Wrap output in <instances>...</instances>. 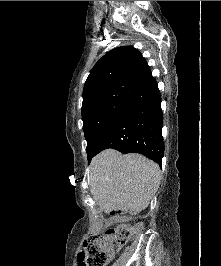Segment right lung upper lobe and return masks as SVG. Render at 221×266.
Segmentation results:
<instances>
[{"mask_svg":"<svg viewBox=\"0 0 221 266\" xmlns=\"http://www.w3.org/2000/svg\"><path fill=\"white\" fill-rule=\"evenodd\" d=\"M153 78L142 54L132 46L118 47L105 54L92 68L83 97L103 88L120 85L142 87Z\"/></svg>","mask_w":221,"mask_h":266,"instance_id":"obj_1","label":"right lung upper lobe"}]
</instances>
